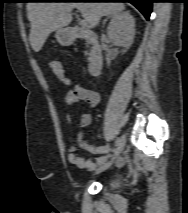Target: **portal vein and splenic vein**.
<instances>
[{
  "mask_svg": "<svg viewBox=\"0 0 188 213\" xmlns=\"http://www.w3.org/2000/svg\"><path fill=\"white\" fill-rule=\"evenodd\" d=\"M80 25H81L82 27H88V22H87V20H81V21H80Z\"/></svg>",
  "mask_w": 188,
  "mask_h": 213,
  "instance_id": "portal-vein-and-splenic-vein-1",
  "label": "portal vein and splenic vein"
}]
</instances>
